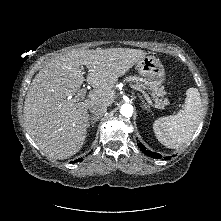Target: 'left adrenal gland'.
<instances>
[{"label": "left adrenal gland", "instance_id": "a2214340", "mask_svg": "<svg viewBox=\"0 0 221 221\" xmlns=\"http://www.w3.org/2000/svg\"><path fill=\"white\" fill-rule=\"evenodd\" d=\"M139 98H140L141 101H142V107H143L145 110H147V109H148V106L146 105L145 100L142 98V96H139Z\"/></svg>", "mask_w": 221, "mask_h": 221}]
</instances>
